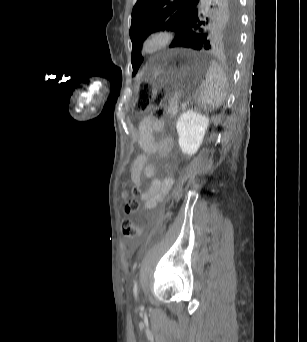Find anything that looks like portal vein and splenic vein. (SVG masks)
I'll return each instance as SVG.
<instances>
[{"label":"portal vein and splenic vein","instance_id":"obj_1","mask_svg":"<svg viewBox=\"0 0 307 342\" xmlns=\"http://www.w3.org/2000/svg\"><path fill=\"white\" fill-rule=\"evenodd\" d=\"M196 91H197V92H199L200 90H199V89H197ZM197 92L195 93L196 95L198 94Z\"/></svg>","mask_w":307,"mask_h":342}]
</instances>
